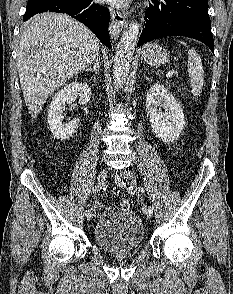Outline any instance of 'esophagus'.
Listing matches in <instances>:
<instances>
[{"label":"esophagus","mask_w":233,"mask_h":294,"mask_svg":"<svg viewBox=\"0 0 233 294\" xmlns=\"http://www.w3.org/2000/svg\"><path fill=\"white\" fill-rule=\"evenodd\" d=\"M111 13V27L110 31L113 36H118L122 29L127 26L126 15L114 9L110 10Z\"/></svg>","instance_id":"1"}]
</instances>
